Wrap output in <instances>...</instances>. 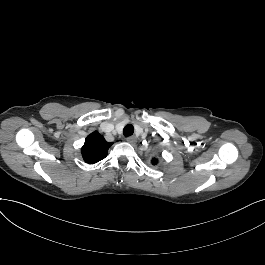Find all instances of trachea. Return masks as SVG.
<instances>
[{
  "label": "trachea",
  "instance_id": "obj_1",
  "mask_svg": "<svg viewBox=\"0 0 265 265\" xmlns=\"http://www.w3.org/2000/svg\"><path fill=\"white\" fill-rule=\"evenodd\" d=\"M133 132H134V127L131 124L126 125L123 129V134L125 137L131 136Z\"/></svg>",
  "mask_w": 265,
  "mask_h": 265
}]
</instances>
